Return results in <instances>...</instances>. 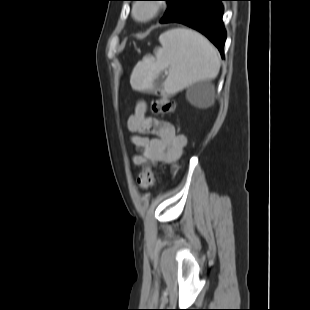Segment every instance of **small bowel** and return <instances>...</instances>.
Segmentation results:
<instances>
[{
  "mask_svg": "<svg viewBox=\"0 0 310 310\" xmlns=\"http://www.w3.org/2000/svg\"><path fill=\"white\" fill-rule=\"evenodd\" d=\"M127 125L133 133L131 141L137 149V154L133 157L135 166L145 163L153 166L160 164L175 166L184 155L188 145L187 137L176 133L171 123L147 115L145 100L137 102Z\"/></svg>",
  "mask_w": 310,
  "mask_h": 310,
  "instance_id": "small-bowel-1",
  "label": "small bowel"
}]
</instances>
